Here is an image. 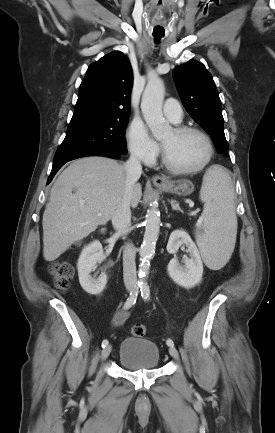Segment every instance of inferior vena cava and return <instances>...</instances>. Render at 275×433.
Segmentation results:
<instances>
[{
  "instance_id": "1",
  "label": "inferior vena cava",
  "mask_w": 275,
  "mask_h": 433,
  "mask_svg": "<svg viewBox=\"0 0 275 433\" xmlns=\"http://www.w3.org/2000/svg\"><path fill=\"white\" fill-rule=\"evenodd\" d=\"M124 170L126 174L125 191L111 218L112 225L119 235L127 234L130 229L132 191L142 173L140 157L136 153H131L129 159L124 163ZM135 255V247L132 244H126L123 250V277L127 290H135L137 287Z\"/></svg>"
}]
</instances>
